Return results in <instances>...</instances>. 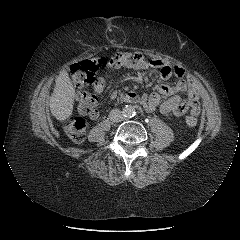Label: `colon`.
I'll use <instances>...</instances> for the list:
<instances>
[{
  "instance_id": "colon-1",
  "label": "colon",
  "mask_w": 240,
  "mask_h": 240,
  "mask_svg": "<svg viewBox=\"0 0 240 240\" xmlns=\"http://www.w3.org/2000/svg\"><path fill=\"white\" fill-rule=\"evenodd\" d=\"M104 58L82 60L70 67V75L74 86L77 89V100L79 110L82 114L91 115L96 109L97 100L91 95L87 88L95 81V72L98 64H106ZM186 124L193 127L197 124V118L187 116ZM86 121L83 117L70 119L65 125V131L68 137L76 142L81 143L85 139Z\"/></svg>"
}]
</instances>
